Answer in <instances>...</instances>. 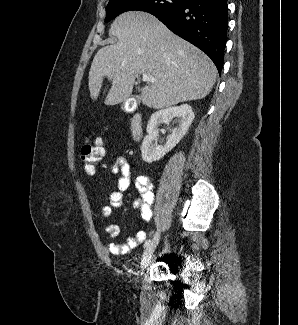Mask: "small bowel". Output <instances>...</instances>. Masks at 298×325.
<instances>
[{
  "label": "small bowel",
  "mask_w": 298,
  "mask_h": 325,
  "mask_svg": "<svg viewBox=\"0 0 298 325\" xmlns=\"http://www.w3.org/2000/svg\"><path fill=\"white\" fill-rule=\"evenodd\" d=\"M102 168L107 170L112 176H120L116 190L110 193V204L104 206L101 210L103 217H109L114 209L121 207L123 198L129 190L131 175L135 170V166L128 162L122 154L116 153L113 155L112 163L103 164ZM135 183L140 193V197L133 202V208L140 211L141 217L144 221L149 222L152 218V206L155 199L153 184L145 175L138 176ZM104 230L112 239H115L119 235V227L116 225H108ZM145 238L146 233L144 231H139L130 235L125 242L109 243L107 249L113 255H123L140 245Z\"/></svg>",
  "instance_id": "small-bowel-1"
}]
</instances>
